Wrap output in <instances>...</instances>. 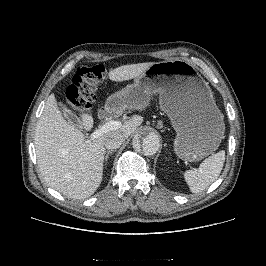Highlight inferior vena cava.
I'll return each instance as SVG.
<instances>
[{"label":"inferior vena cava","mask_w":266,"mask_h":266,"mask_svg":"<svg viewBox=\"0 0 266 266\" xmlns=\"http://www.w3.org/2000/svg\"><path fill=\"white\" fill-rule=\"evenodd\" d=\"M124 140H125V137L123 135L114 133L105 138L104 146L107 149H111V150L117 149L122 145Z\"/></svg>","instance_id":"obj_1"}]
</instances>
